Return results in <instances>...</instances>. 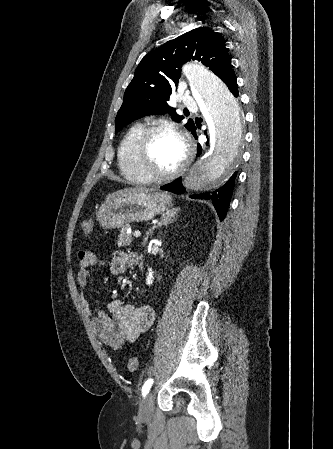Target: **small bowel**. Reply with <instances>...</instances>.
Instances as JSON below:
<instances>
[{"label": "small bowel", "instance_id": "obj_1", "mask_svg": "<svg viewBox=\"0 0 333 449\" xmlns=\"http://www.w3.org/2000/svg\"><path fill=\"white\" fill-rule=\"evenodd\" d=\"M78 257L79 270L76 279L81 291L82 306L102 342L111 349L120 351L150 327L155 318V310L150 305H134L119 299L110 301L107 311L95 305L87 296L88 278L90 269L103 262L88 251H80ZM137 263V254L115 251L109 263V271L113 275H119L128 266Z\"/></svg>", "mask_w": 333, "mask_h": 449}]
</instances>
